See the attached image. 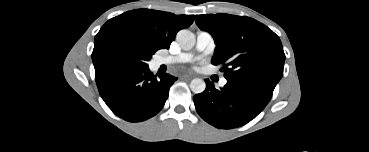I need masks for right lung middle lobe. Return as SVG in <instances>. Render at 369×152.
Segmentation results:
<instances>
[{
    "instance_id": "obj_1",
    "label": "right lung middle lobe",
    "mask_w": 369,
    "mask_h": 152,
    "mask_svg": "<svg viewBox=\"0 0 369 152\" xmlns=\"http://www.w3.org/2000/svg\"><path fill=\"white\" fill-rule=\"evenodd\" d=\"M155 51L138 42L107 33L96 35L92 60L95 79L105 78L115 72L130 68H147Z\"/></svg>"
}]
</instances>
